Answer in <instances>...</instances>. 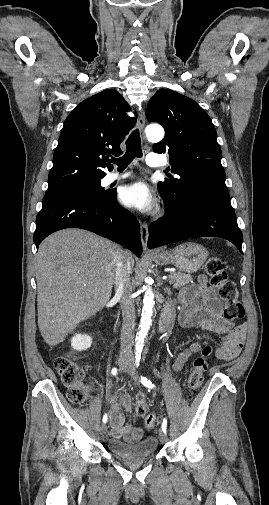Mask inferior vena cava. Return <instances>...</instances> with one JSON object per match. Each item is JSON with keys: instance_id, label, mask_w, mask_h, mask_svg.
I'll use <instances>...</instances> for the list:
<instances>
[{"instance_id": "inferior-vena-cava-1", "label": "inferior vena cava", "mask_w": 269, "mask_h": 505, "mask_svg": "<svg viewBox=\"0 0 269 505\" xmlns=\"http://www.w3.org/2000/svg\"><path fill=\"white\" fill-rule=\"evenodd\" d=\"M115 277L114 285L116 293L121 296L122 309V335L121 349L131 351L132 348V332L135 327V303L132 298V287L129 280V266L127 264L125 252L118 248L114 256Z\"/></svg>"}]
</instances>
